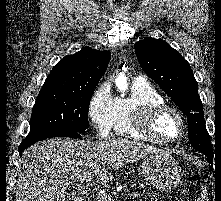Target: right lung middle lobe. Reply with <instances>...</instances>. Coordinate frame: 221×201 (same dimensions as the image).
Listing matches in <instances>:
<instances>
[{"instance_id":"1","label":"right lung middle lobe","mask_w":221,"mask_h":201,"mask_svg":"<svg viewBox=\"0 0 221 201\" xmlns=\"http://www.w3.org/2000/svg\"><path fill=\"white\" fill-rule=\"evenodd\" d=\"M93 93L41 90L33 106L29 135L47 130L84 132L89 127L87 110Z\"/></svg>"}]
</instances>
